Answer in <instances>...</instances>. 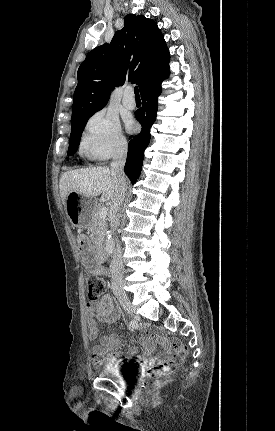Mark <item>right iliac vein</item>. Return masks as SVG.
I'll return each mask as SVG.
<instances>
[{
	"label": "right iliac vein",
	"instance_id": "1",
	"mask_svg": "<svg viewBox=\"0 0 275 431\" xmlns=\"http://www.w3.org/2000/svg\"><path fill=\"white\" fill-rule=\"evenodd\" d=\"M117 298L121 304V306L124 308L125 311H127L128 313H132L133 308H132V304L129 300V298L127 297V295L125 293H118L117 294Z\"/></svg>",
	"mask_w": 275,
	"mask_h": 431
}]
</instances>
